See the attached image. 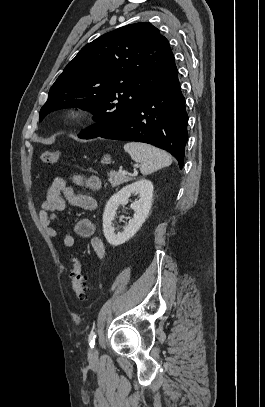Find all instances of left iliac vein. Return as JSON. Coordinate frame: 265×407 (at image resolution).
I'll return each instance as SVG.
<instances>
[{
	"label": "left iliac vein",
	"mask_w": 265,
	"mask_h": 407,
	"mask_svg": "<svg viewBox=\"0 0 265 407\" xmlns=\"http://www.w3.org/2000/svg\"><path fill=\"white\" fill-rule=\"evenodd\" d=\"M96 355H97V352H96V350L95 349H93V350H90V352H89V356H90V358H95L96 357Z\"/></svg>",
	"instance_id": "obj_1"
}]
</instances>
